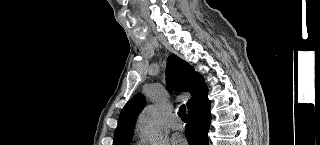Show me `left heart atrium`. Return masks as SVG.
Returning <instances> with one entry per match:
<instances>
[{
	"label": "left heart atrium",
	"mask_w": 320,
	"mask_h": 145,
	"mask_svg": "<svg viewBox=\"0 0 320 145\" xmlns=\"http://www.w3.org/2000/svg\"><path fill=\"white\" fill-rule=\"evenodd\" d=\"M182 142V139L181 138H179V137H175L174 138V143L175 144H179V143H181Z\"/></svg>",
	"instance_id": "left-heart-atrium-1"
}]
</instances>
